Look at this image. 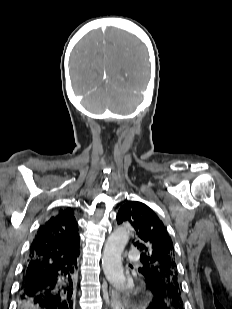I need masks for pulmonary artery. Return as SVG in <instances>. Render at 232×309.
<instances>
[{
	"label": "pulmonary artery",
	"instance_id": "e3ab8cb5",
	"mask_svg": "<svg viewBox=\"0 0 232 309\" xmlns=\"http://www.w3.org/2000/svg\"><path fill=\"white\" fill-rule=\"evenodd\" d=\"M128 257L130 259L137 260L138 257H139V254H138V252L136 250H133V251L129 252Z\"/></svg>",
	"mask_w": 232,
	"mask_h": 309
}]
</instances>
